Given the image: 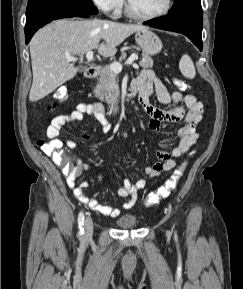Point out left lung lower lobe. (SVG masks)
<instances>
[{"label":"left lung lower lobe","mask_w":243,"mask_h":289,"mask_svg":"<svg viewBox=\"0 0 243 289\" xmlns=\"http://www.w3.org/2000/svg\"><path fill=\"white\" fill-rule=\"evenodd\" d=\"M145 25L186 35L202 50L203 14L200 0H178L168 15L144 22Z\"/></svg>","instance_id":"0a47b994"}]
</instances>
